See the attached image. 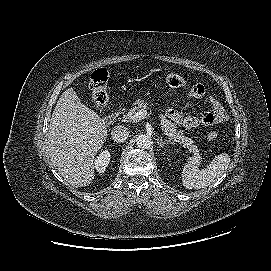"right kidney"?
<instances>
[{
	"label": "right kidney",
	"mask_w": 271,
	"mask_h": 271,
	"mask_svg": "<svg viewBox=\"0 0 271 271\" xmlns=\"http://www.w3.org/2000/svg\"><path fill=\"white\" fill-rule=\"evenodd\" d=\"M110 152L108 150L102 151L99 156L95 159L94 165L99 173H104L106 170V167L108 166L110 162Z\"/></svg>",
	"instance_id": "obj_1"
}]
</instances>
